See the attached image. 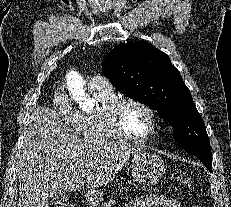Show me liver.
Segmentation results:
<instances>
[{
    "label": "liver",
    "instance_id": "obj_1",
    "mask_svg": "<svg viewBox=\"0 0 231 207\" xmlns=\"http://www.w3.org/2000/svg\"><path fill=\"white\" fill-rule=\"evenodd\" d=\"M16 172L18 207H49L58 190L99 188L112 181L140 148L130 144L80 138L56 112L37 107L24 131Z\"/></svg>",
    "mask_w": 231,
    "mask_h": 207
}]
</instances>
